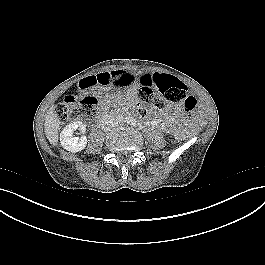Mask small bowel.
Instances as JSON below:
<instances>
[{"label": "small bowel", "mask_w": 265, "mask_h": 265, "mask_svg": "<svg viewBox=\"0 0 265 265\" xmlns=\"http://www.w3.org/2000/svg\"><path fill=\"white\" fill-rule=\"evenodd\" d=\"M151 73H144L136 78V75L130 71H115V72H106L101 74L92 73L89 74L87 77L77 80L74 83L73 89L77 95L86 96L89 95L93 90L101 89L106 90L112 86L122 90L128 88V92L130 95H134L138 86H150V76ZM171 109L170 105H166L162 107L158 112L155 114V118H164L167 116ZM181 106H177L176 110H180ZM178 114L176 115V117ZM167 127L172 132H177L178 128L174 121L167 124Z\"/></svg>", "instance_id": "obj_1"}]
</instances>
